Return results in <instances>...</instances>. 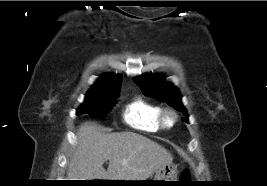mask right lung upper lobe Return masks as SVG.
<instances>
[{"instance_id": "right-lung-upper-lobe-1", "label": "right lung upper lobe", "mask_w": 267, "mask_h": 186, "mask_svg": "<svg viewBox=\"0 0 267 186\" xmlns=\"http://www.w3.org/2000/svg\"><path fill=\"white\" fill-rule=\"evenodd\" d=\"M122 77L115 74H105L92 86L88 92H119Z\"/></svg>"}]
</instances>
